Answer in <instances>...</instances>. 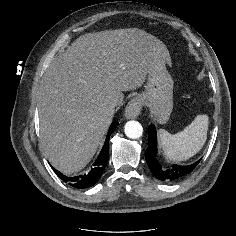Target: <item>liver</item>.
<instances>
[{"label": "liver", "mask_w": 236, "mask_h": 236, "mask_svg": "<svg viewBox=\"0 0 236 236\" xmlns=\"http://www.w3.org/2000/svg\"><path fill=\"white\" fill-rule=\"evenodd\" d=\"M170 63L162 41L128 28L88 33L55 58L38 96L41 142L60 172L84 168L101 145L122 91L143 85L153 63Z\"/></svg>", "instance_id": "liver-1"}]
</instances>
